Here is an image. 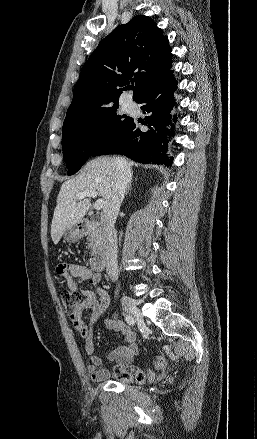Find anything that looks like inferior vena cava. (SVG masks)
I'll return each mask as SVG.
<instances>
[{
  "mask_svg": "<svg viewBox=\"0 0 257 439\" xmlns=\"http://www.w3.org/2000/svg\"><path fill=\"white\" fill-rule=\"evenodd\" d=\"M131 178L132 173L127 161L123 158H116L115 181L101 212L103 258L106 272L113 281L118 279L117 232L114 224Z\"/></svg>",
  "mask_w": 257,
  "mask_h": 439,
  "instance_id": "602c4592",
  "label": "inferior vena cava"
}]
</instances>
